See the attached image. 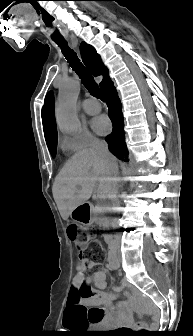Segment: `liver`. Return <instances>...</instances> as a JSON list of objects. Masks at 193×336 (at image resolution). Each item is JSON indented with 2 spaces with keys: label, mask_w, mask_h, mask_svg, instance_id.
Segmentation results:
<instances>
[{
  "label": "liver",
  "mask_w": 193,
  "mask_h": 336,
  "mask_svg": "<svg viewBox=\"0 0 193 336\" xmlns=\"http://www.w3.org/2000/svg\"><path fill=\"white\" fill-rule=\"evenodd\" d=\"M116 173L117 160L113 155L107 161L94 148L74 154L56 176L52 187L62 219L67 220L72 210L89 200L95 187L99 196L107 197L109 178Z\"/></svg>",
  "instance_id": "1"
}]
</instances>
